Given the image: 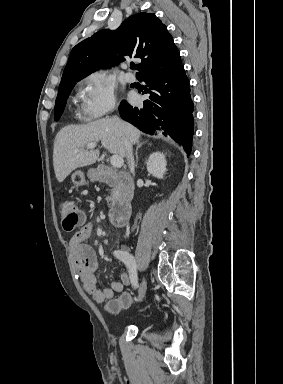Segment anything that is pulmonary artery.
<instances>
[{"label": "pulmonary artery", "instance_id": "e3ab8cb5", "mask_svg": "<svg viewBox=\"0 0 283 384\" xmlns=\"http://www.w3.org/2000/svg\"><path fill=\"white\" fill-rule=\"evenodd\" d=\"M125 80L128 83H134L136 81V77L133 73L131 72H125Z\"/></svg>", "mask_w": 283, "mask_h": 384}]
</instances>
